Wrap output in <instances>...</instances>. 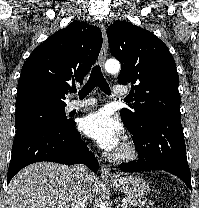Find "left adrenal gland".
Masks as SVG:
<instances>
[{"label":"left adrenal gland","instance_id":"a2214340","mask_svg":"<svg viewBox=\"0 0 199 208\" xmlns=\"http://www.w3.org/2000/svg\"><path fill=\"white\" fill-rule=\"evenodd\" d=\"M116 208H119V203H117V207Z\"/></svg>","mask_w":199,"mask_h":208}]
</instances>
